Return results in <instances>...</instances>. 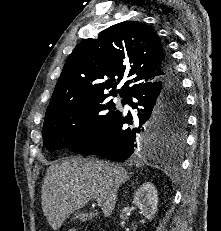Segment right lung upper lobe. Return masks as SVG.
I'll return each instance as SVG.
<instances>
[{"mask_svg": "<svg viewBox=\"0 0 221 231\" xmlns=\"http://www.w3.org/2000/svg\"><path fill=\"white\" fill-rule=\"evenodd\" d=\"M165 48L147 25L138 21L115 24L97 39L79 43L69 55L55 86L45 118L71 100L121 94L125 98L163 76ZM129 78L119 90L121 79Z\"/></svg>", "mask_w": 221, "mask_h": 231, "instance_id": "obj_1", "label": "right lung upper lobe"}]
</instances>
